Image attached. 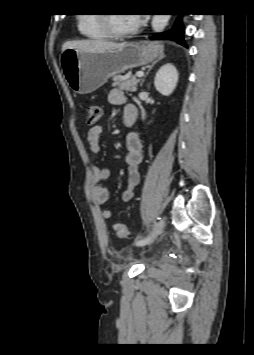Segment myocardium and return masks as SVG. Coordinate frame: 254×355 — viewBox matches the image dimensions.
Masks as SVG:
<instances>
[{
  "label": "myocardium",
  "mask_w": 254,
  "mask_h": 355,
  "mask_svg": "<svg viewBox=\"0 0 254 355\" xmlns=\"http://www.w3.org/2000/svg\"><path fill=\"white\" fill-rule=\"evenodd\" d=\"M100 24L103 32L107 35V37L112 39L127 38L134 35L138 31V27L126 31H115L111 25L110 13L100 15Z\"/></svg>",
  "instance_id": "f54148a6"
}]
</instances>
